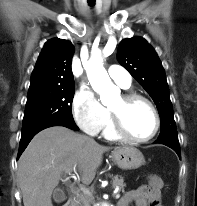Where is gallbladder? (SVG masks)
<instances>
[{"mask_svg": "<svg viewBox=\"0 0 197 206\" xmlns=\"http://www.w3.org/2000/svg\"><path fill=\"white\" fill-rule=\"evenodd\" d=\"M53 199L56 203H61L66 200V195L63 190L57 188L53 192Z\"/></svg>", "mask_w": 197, "mask_h": 206, "instance_id": "obj_1", "label": "gallbladder"}]
</instances>
